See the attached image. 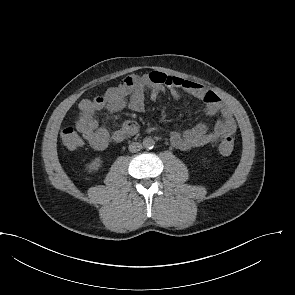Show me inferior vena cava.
Masks as SVG:
<instances>
[{
	"label": "inferior vena cava",
	"mask_w": 295,
	"mask_h": 295,
	"mask_svg": "<svg viewBox=\"0 0 295 295\" xmlns=\"http://www.w3.org/2000/svg\"><path fill=\"white\" fill-rule=\"evenodd\" d=\"M142 149V144L138 143V142H132L129 145V151L132 153H136L138 151H140Z\"/></svg>",
	"instance_id": "1"
}]
</instances>
